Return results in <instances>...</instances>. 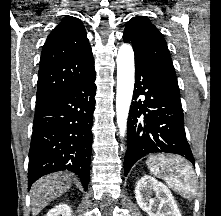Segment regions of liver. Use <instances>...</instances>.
<instances>
[{"label": "liver", "instance_id": "1", "mask_svg": "<svg viewBox=\"0 0 221 216\" xmlns=\"http://www.w3.org/2000/svg\"><path fill=\"white\" fill-rule=\"evenodd\" d=\"M70 186L71 176L66 172L53 173L38 179L30 191L33 215H37L49 202L60 197Z\"/></svg>", "mask_w": 221, "mask_h": 216}]
</instances>
